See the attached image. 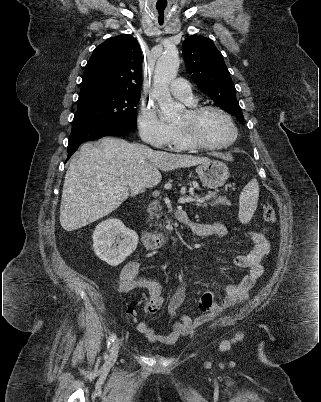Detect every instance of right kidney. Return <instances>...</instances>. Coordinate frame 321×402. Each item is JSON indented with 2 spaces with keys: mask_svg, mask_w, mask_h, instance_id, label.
<instances>
[{
  "mask_svg": "<svg viewBox=\"0 0 321 402\" xmlns=\"http://www.w3.org/2000/svg\"><path fill=\"white\" fill-rule=\"evenodd\" d=\"M116 243L118 246H113ZM138 244V235L124 226L117 218L107 219L98 224L93 233L95 254L110 266H118Z\"/></svg>",
  "mask_w": 321,
  "mask_h": 402,
  "instance_id": "ca27d5eb",
  "label": "right kidney"
}]
</instances>
